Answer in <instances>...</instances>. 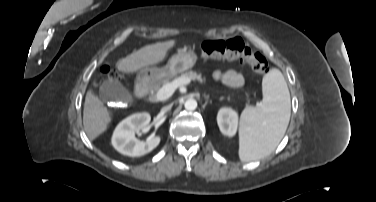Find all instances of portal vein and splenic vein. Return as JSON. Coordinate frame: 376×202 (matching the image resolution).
I'll return each mask as SVG.
<instances>
[{
	"instance_id": "obj_1",
	"label": "portal vein and splenic vein",
	"mask_w": 376,
	"mask_h": 202,
	"mask_svg": "<svg viewBox=\"0 0 376 202\" xmlns=\"http://www.w3.org/2000/svg\"><path fill=\"white\" fill-rule=\"evenodd\" d=\"M191 80L190 79H185V78H178L173 80L172 82L163 85L158 92L156 93V98L159 101H164L171 97L174 93V91L184 85L190 84Z\"/></svg>"
}]
</instances>
